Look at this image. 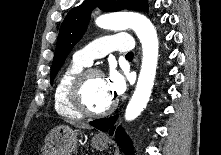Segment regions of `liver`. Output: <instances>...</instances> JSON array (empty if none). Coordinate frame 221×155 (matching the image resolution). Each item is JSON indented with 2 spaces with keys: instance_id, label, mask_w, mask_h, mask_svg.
I'll return each instance as SVG.
<instances>
[{
  "instance_id": "1",
  "label": "liver",
  "mask_w": 221,
  "mask_h": 155,
  "mask_svg": "<svg viewBox=\"0 0 221 155\" xmlns=\"http://www.w3.org/2000/svg\"><path fill=\"white\" fill-rule=\"evenodd\" d=\"M67 122H69L70 124H72L78 128L91 129V126H89L86 123H82V122H78V121H67Z\"/></svg>"
}]
</instances>
